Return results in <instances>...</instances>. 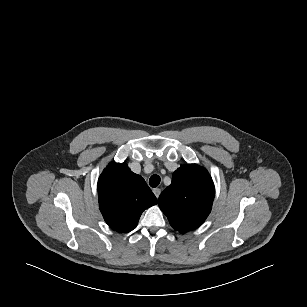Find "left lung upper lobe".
<instances>
[{"label": "left lung upper lobe", "instance_id": "left-lung-upper-lobe-1", "mask_svg": "<svg viewBox=\"0 0 307 307\" xmlns=\"http://www.w3.org/2000/svg\"><path fill=\"white\" fill-rule=\"evenodd\" d=\"M215 187L208 171L197 165H181L172 183L160 194L158 205L171 226L180 233L198 228L208 217Z\"/></svg>", "mask_w": 307, "mask_h": 307}]
</instances>
